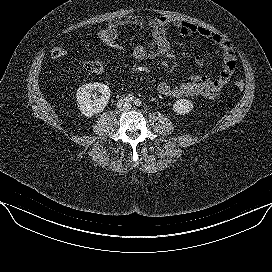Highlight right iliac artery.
<instances>
[{
    "label": "right iliac artery",
    "instance_id": "1",
    "mask_svg": "<svg viewBox=\"0 0 272 272\" xmlns=\"http://www.w3.org/2000/svg\"><path fill=\"white\" fill-rule=\"evenodd\" d=\"M126 99H127V101H133L134 100V95L133 94H128L126 96Z\"/></svg>",
    "mask_w": 272,
    "mask_h": 272
}]
</instances>
